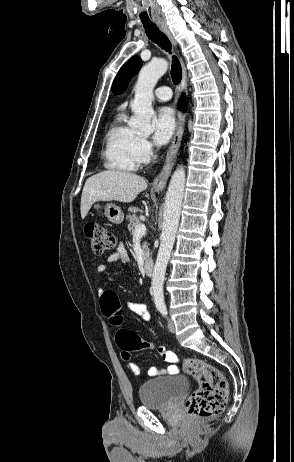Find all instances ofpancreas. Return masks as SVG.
<instances>
[{
  "label": "pancreas",
  "mask_w": 294,
  "mask_h": 462,
  "mask_svg": "<svg viewBox=\"0 0 294 462\" xmlns=\"http://www.w3.org/2000/svg\"><path fill=\"white\" fill-rule=\"evenodd\" d=\"M127 220H128V230L132 235H134L135 228H136V226L138 224H140V220H139L138 216H136L135 214L127 215ZM142 250H143V258L144 259L148 258L149 257V248H148L147 242L143 243Z\"/></svg>",
  "instance_id": "pancreas-1"
}]
</instances>
